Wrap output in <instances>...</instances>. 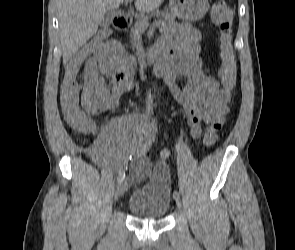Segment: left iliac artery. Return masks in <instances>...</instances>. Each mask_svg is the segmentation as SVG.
Here are the masks:
<instances>
[{
    "label": "left iliac artery",
    "mask_w": 295,
    "mask_h": 250,
    "mask_svg": "<svg viewBox=\"0 0 295 250\" xmlns=\"http://www.w3.org/2000/svg\"><path fill=\"white\" fill-rule=\"evenodd\" d=\"M173 197L175 198V197H179V192L177 191V190H174V192H173Z\"/></svg>",
    "instance_id": "1"
}]
</instances>
